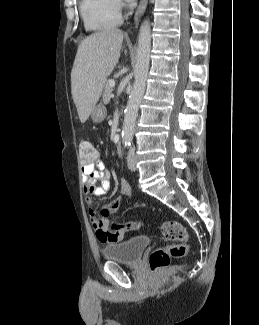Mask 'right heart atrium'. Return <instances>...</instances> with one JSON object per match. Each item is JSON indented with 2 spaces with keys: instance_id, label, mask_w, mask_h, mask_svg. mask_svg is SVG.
<instances>
[{
  "instance_id": "d8ad5b80",
  "label": "right heart atrium",
  "mask_w": 259,
  "mask_h": 325,
  "mask_svg": "<svg viewBox=\"0 0 259 325\" xmlns=\"http://www.w3.org/2000/svg\"><path fill=\"white\" fill-rule=\"evenodd\" d=\"M114 3L118 10H120L123 7L122 0H114Z\"/></svg>"
}]
</instances>
